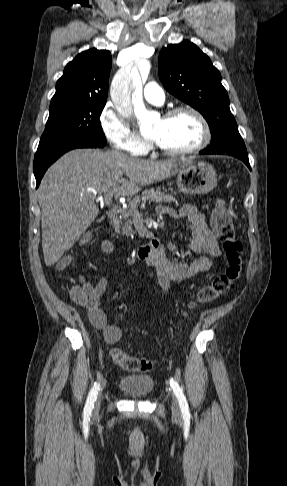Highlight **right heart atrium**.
<instances>
[{"mask_svg":"<svg viewBox=\"0 0 287 486\" xmlns=\"http://www.w3.org/2000/svg\"><path fill=\"white\" fill-rule=\"evenodd\" d=\"M99 123L104 136L114 148L132 154L145 150L146 143L110 105L102 109Z\"/></svg>","mask_w":287,"mask_h":486,"instance_id":"right-heart-atrium-1","label":"right heart atrium"}]
</instances>
